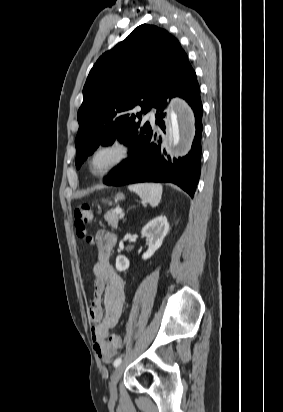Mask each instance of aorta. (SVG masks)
<instances>
[{
  "instance_id": "obj_1",
  "label": "aorta",
  "mask_w": 283,
  "mask_h": 412,
  "mask_svg": "<svg viewBox=\"0 0 283 412\" xmlns=\"http://www.w3.org/2000/svg\"><path fill=\"white\" fill-rule=\"evenodd\" d=\"M192 132V111L187 105L182 104L171 114L170 142L172 146H178L181 138H189Z\"/></svg>"
}]
</instances>
